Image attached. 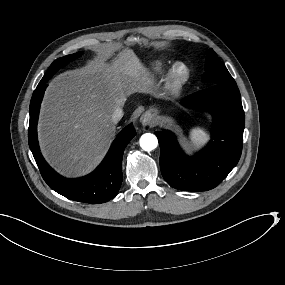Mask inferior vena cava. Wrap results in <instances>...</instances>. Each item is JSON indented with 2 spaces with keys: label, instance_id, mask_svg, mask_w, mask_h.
I'll use <instances>...</instances> for the list:
<instances>
[{
  "label": "inferior vena cava",
  "instance_id": "inferior-vena-cava-1",
  "mask_svg": "<svg viewBox=\"0 0 285 285\" xmlns=\"http://www.w3.org/2000/svg\"><path fill=\"white\" fill-rule=\"evenodd\" d=\"M124 115L122 107H118L114 110L112 115V120L114 124H116Z\"/></svg>",
  "mask_w": 285,
  "mask_h": 285
}]
</instances>
